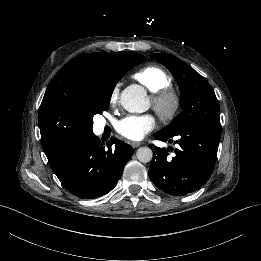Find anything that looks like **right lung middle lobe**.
Wrapping results in <instances>:
<instances>
[{
  "instance_id": "obj_1",
  "label": "right lung middle lobe",
  "mask_w": 261,
  "mask_h": 261,
  "mask_svg": "<svg viewBox=\"0 0 261 261\" xmlns=\"http://www.w3.org/2000/svg\"><path fill=\"white\" fill-rule=\"evenodd\" d=\"M146 58L138 53L124 52L116 61L99 70L93 78L88 106L91 115L101 114L109 106L116 83L136 64L145 62Z\"/></svg>"
}]
</instances>
